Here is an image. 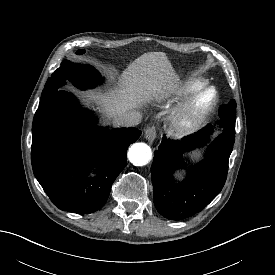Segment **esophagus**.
I'll use <instances>...</instances> for the list:
<instances>
[{"label": "esophagus", "mask_w": 275, "mask_h": 275, "mask_svg": "<svg viewBox=\"0 0 275 275\" xmlns=\"http://www.w3.org/2000/svg\"><path fill=\"white\" fill-rule=\"evenodd\" d=\"M145 138L152 143L155 138H156V130L154 127H149L146 131H145Z\"/></svg>", "instance_id": "1"}]
</instances>
